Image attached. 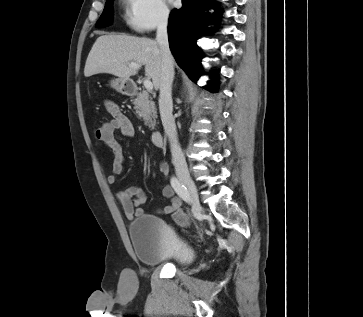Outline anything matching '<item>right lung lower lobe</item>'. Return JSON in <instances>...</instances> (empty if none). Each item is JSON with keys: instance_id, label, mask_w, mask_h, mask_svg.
Masks as SVG:
<instances>
[{"instance_id": "obj_1", "label": "right lung lower lobe", "mask_w": 363, "mask_h": 317, "mask_svg": "<svg viewBox=\"0 0 363 317\" xmlns=\"http://www.w3.org/2000/svg\"><path fill=\"white\" fill-rule=\"evenodd\" d=\"M183 7L170 14L168 34L169 45L178 65L193 81L199 78L201 51L196 45L197 38L211 30L206 25L216 24L217 9L209 0H182ZM215 8L213 14L203 12L204 8ZM216 78L215 75H211ZM215 92L214 82L205 87Z\"/></svg>"}]
</instances>
